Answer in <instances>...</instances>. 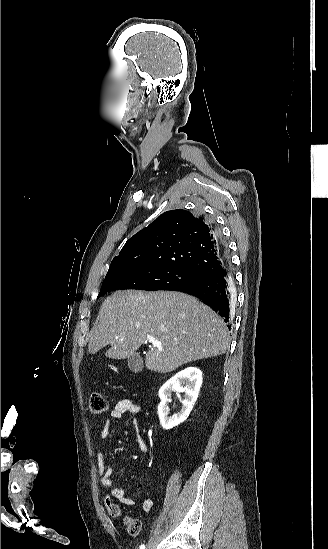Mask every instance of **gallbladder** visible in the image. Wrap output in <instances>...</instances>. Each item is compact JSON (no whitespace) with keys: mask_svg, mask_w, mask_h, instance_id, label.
Returning <instances> with one entry per match:
<instances>
[{"mask_svg":"<svg viewBox=\"0 0 328 549\" xmlns=\"http://www.w3.org/2000/svg\"><path fill=\"white\" fill-rule=\"evenodd\" d=\"M127 363L132 373H141L143 369V361L139 353H134V355H131V357H128Z\"/></svg>","mask_w":328,"mask_h":549,"instance_id":"1","label":"gallbladder"}]
</instances>
